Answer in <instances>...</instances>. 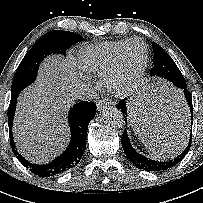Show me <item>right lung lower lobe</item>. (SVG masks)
I'll use <instances>...</instances> for the list:
<instances>
[{
    "label": "right lung lower lobe",
    "mask_w": 203,
    "mask_h": 203,
    "mask_svg": "<svg viewBox=\"0 0 203 203\" xmlns=\"http://www.w3.org/2000/svg\"><path fill=\"white\" fill-rule=\"evenodd\" d=\"M17 96L11 97L8 108L9 136L12 150L18 160L32 173L40 177H51L61 174L73 167L80 161L86 148V135L89 122L96 114V105L92 102L82 101L70 109L68 120L71 130V141L65 152L48 164H35L22 157L16 149L12 126L16 110Z\"/></svg>",
    "instance_id": "1"
}]
</instances>
